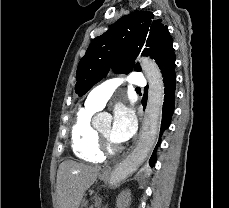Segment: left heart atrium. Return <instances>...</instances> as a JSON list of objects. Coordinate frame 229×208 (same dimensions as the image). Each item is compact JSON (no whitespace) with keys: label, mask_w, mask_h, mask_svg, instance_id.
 Returning <instances> with one entry per match:
<instances>
[{"label":"left heart atrium","mask_w":229,"mask_h":208,"mask_svg":"<svg viewBox=\"0 0 229 208\" xmlns=\"http://www.w3.org/2000/svg\"><path fill=\"white\" fill-rule=\"evenodd\" d=\"M137 121L134 111L127 106L120 105L114 113L111 138L117 143L129 140L135 133Z\"/></svg>","instance_id":"39dd6f15"}]
</instances>
